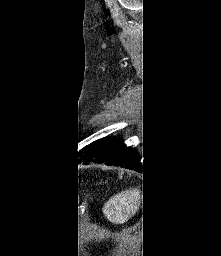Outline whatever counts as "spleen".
Instances as JSON below:
<instances>
[{"mask_svg":"<svg viewBox=\"0 0 221 256\" xmlns=\"http://www.w3.org/2000/svg\"><path fill=\"white\" fill-rule=\"evenodd\" d=\"M142 191L130 188L117 193L105 203L103 213L109 221L122 224L128 221L140 208Z\"/></svg>","mask_w":221,"mask_h":256,"instance_id":"obj_1","label":"spleen"}]
</instances>
